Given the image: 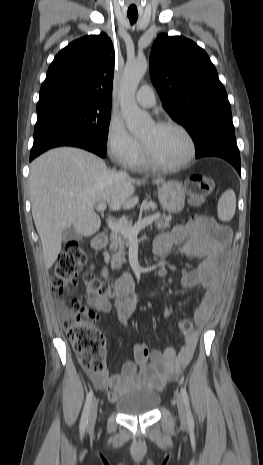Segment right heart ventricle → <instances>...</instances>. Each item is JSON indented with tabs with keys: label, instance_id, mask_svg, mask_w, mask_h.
I'll return each instance as SVG.
<instances>
[{
	"label": "right heart ventricle",
	"instance_id": "e07e8e85",
	"mask_svg": "<svg viewBox=\"0 0 263 465\" xmlns=\"http://www.w3.org/2000/svg\"><path fill=\"white\" fill-rule=\"evenodd\" d=\"M133 166L135 168H137V169H142V168H145L147 166V163H146L142 153L140 154V156L138 157V159L136 160V162L134 163Z\"/></svg>",
	"mask_w": 263,
	"mask_h": 465
}]
</instances>
